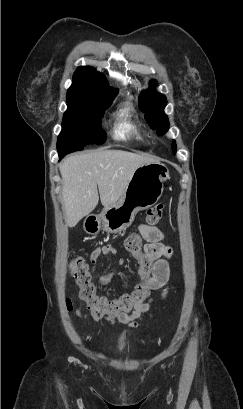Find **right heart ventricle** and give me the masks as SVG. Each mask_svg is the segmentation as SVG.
I'll return each instance as SVG.
<instances>
[{
  "label": "right heart ventricle",
  "instance_id": "right-heart-ventricle-1",
  "mask_svg": "<svg viewBox=\"0 0 243 409\" xmlns=\"http://www.w3.org/2000/svg\"><path fill=\"white\" fill-rule=\"evenodd\" d=\"M116 124L114 127V137L119 140L135 138L142 140L144 134L142 130L132 121L128 108L120 109L116 114Z\"/></svg>",
  "mask_w": 243,
  "mask_h": 409
}]
</instances>
